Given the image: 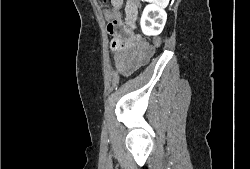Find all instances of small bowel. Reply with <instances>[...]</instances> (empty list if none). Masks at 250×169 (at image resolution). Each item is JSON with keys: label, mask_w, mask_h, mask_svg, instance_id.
Listing matches in <instances>:
<instances>
[{"label": "small bowel", "mask_w": 250, "mask_h": 169, "mask_svg": "<svg viewBox=\"0 0 250 169\" xmlns=\"http://www.w3.org/2000/svg\"><path fill=\"white\" fill-rule=\"evenodd\" d=\"M120 18V8L113 5L108 11L109 22L112 23L114 20L120 21ZM127 24L131 25L130 18H128ZM111 49L116 69L122 75L132 73L143 65L153 53L151 46L140 43L133 34L122 36L116 33L111 42Z\"/></svg>", "instance_id": "1"}]
</instances>
